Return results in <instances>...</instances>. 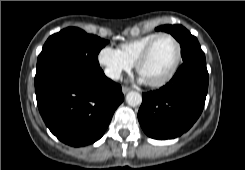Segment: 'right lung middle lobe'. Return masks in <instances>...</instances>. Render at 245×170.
<instances>
[{
    "label": "right lung middle lobe",
    "mask_w": 245,
    "mask_h": 170,
    "mask_svg": "<svg viewBox=\"0 0 245 170\" xmlns=\"http://www.w3.org/2000/svg\"><path fill=\"white\" fill-rule=\"evenodd\" d=\"M108 41L69 27L50 36L38 56L35 83L64 67L99 68L98 53Z\"/></svg>",
    "instance_id": "obj_1"
}]
</instances>
